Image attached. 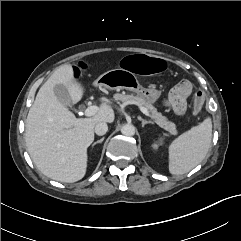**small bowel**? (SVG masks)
<instances>
[{
    "label": "small bowel",
    "mask_w": 241,
    "mask_h": 241,
    "mask_svg": "<svg viewBox=\"0 0 241 241\" xmlns=\"http://www.w3.org/2000/svg\"><path fill=\"white\" fill-rule=\"evenodd\" d=\"M191 93L192 84L188 80L184 79L171 90L165 99V105L168 106L176 115H184L187 108V99Z\"/></svg>",
    "instance_id": "small-bowel-1"
}]
</instances>
